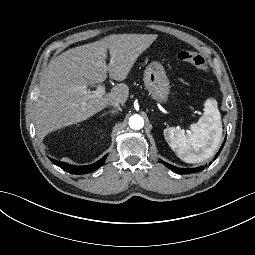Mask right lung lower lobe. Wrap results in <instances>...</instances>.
<instances>
[{"instance_id": "98d812e1", "label": "right lung lower lobe", "mask_w": 255, "mask_h": 255, "mask_svg": "<svg viewBox=\"0 0 255 255\" xmlns=\"http://www.w3.org/2000/svg\"><path fill=\"white\" fill-rule=\"evenodd\" d=\"M106 158H107V155L102 157L96 163L91 164V165H86V166L70 165V164L65 163V162L55 161L51 158H50V160L55 165L59 166L60 168H62L63 170H65L69 173H72V174H87V173L93 172V171L97 170L99 167H101L103 165V163L105 162Z\"/></svg>"}]
</instances>
